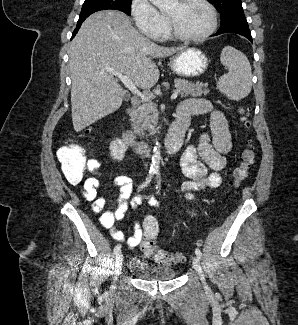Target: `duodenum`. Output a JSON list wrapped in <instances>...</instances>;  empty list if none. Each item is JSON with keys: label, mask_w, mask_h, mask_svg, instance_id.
<instances>
[{"label": "duodenum", "mask_w": 298, "mask_h": 325, "mask_svg": "<svg viewBox=\"0 0 298 325\" xmlns=\"http://www.w3.org/2000/svg\"><path fill=\"white\" fill-rule=\"evenodd\" d=\"M139 103L140 101L137 98L132 100L131 106L126 111L127 117L131 116L135 112ZM200 113H202V108L196 103L183 102L178 106L176 118L169 128L164 142L165 149L168 153H175L181 147L191 117ZM123 138L135 151L139 153H144L149 149L147 143L140 141L126 128L123 129Z\"/></svg>", "instance_id": "410a0bca"}]
</instances>
